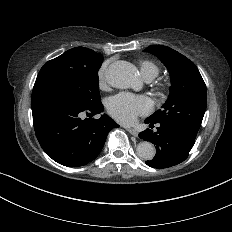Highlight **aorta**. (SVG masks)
<instances>
[{"label": "aorta", "instance_id": "1", "mask_svg": "<svg viewBox=\"0 0 232 232\" xmlns=\"http://www.w3.org/2000/svg\"><path fill=\"white\" fill-rule=\"evenodd\" d=\"M108 84L114 88L127 89L138 83L135 69L125 61H117L109 65L106 72ZM137 154L143 160H151L155 156V147L151 142L142 141L137 146Z\"/></svg>", "mask_w": 232, "mask_h": 232}]
</instances>
